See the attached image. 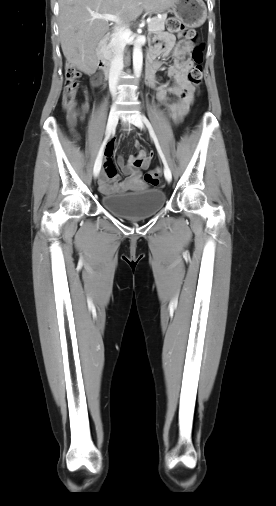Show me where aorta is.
<instances>
[{"label": "aorta", "instance_id": "aorta-1", "mask_svg": "<svg viewBox=\"0 0 276 506\" xmlns=\"http://www.w3.org/2000/svg\"><path fill=\"white\" fill-rule=\"evenodd\" d=\"M143 66V53L142 47L139 42L133 48V70L136 77H140Z\"/></svg>", "mask_w": 276, "mask_h": 506}]
</instances>
